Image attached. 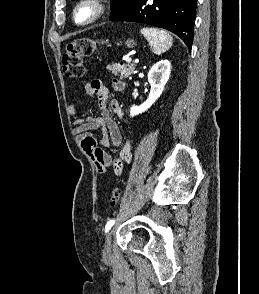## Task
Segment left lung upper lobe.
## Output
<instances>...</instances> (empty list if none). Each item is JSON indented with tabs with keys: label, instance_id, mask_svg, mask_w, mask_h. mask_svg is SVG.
I'll list each match as a JSON object with an SVG mask.
<instances>
[{
	"label": "left lung upper lobe",
	"instance_id": "left-lung-upper-lobe-1",
	"mask_svg": "<svg viewBox=\"0 0 259 294\" xmlns=\"http://www.w3.org/2000/svg\"><path fill=\"white\" fill-rule=\"evenodd\" d=\"M136 0H111L112 13L110 18L131 7Z\"/></svg>",
	"mask_w": 259,
	"mask_h": 294
}]
</instances>
